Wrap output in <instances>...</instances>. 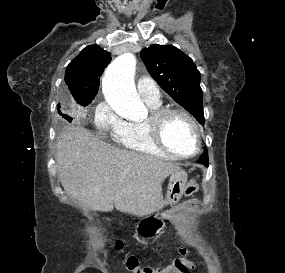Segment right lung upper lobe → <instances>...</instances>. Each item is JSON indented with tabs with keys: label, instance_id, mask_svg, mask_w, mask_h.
<instances>
[{
	"label": "right lung upper lobe",
	"instance_id": "right-lung-upper-lobe-1",
	"mask_svg": "<svg viewBox=\"0 0 285 273\" xmlns=\"http://www.w3.org/2000/svg\"><path fill=\"white\" fill-rule=\"evenodd\" d=\"M110 61L109 52L90 45L67 66L65 82L78 104L94 99L99 89V78Z\"/></svg>",
	"mask_w": 285,
	"mask_h": 273
}]
</instances>
